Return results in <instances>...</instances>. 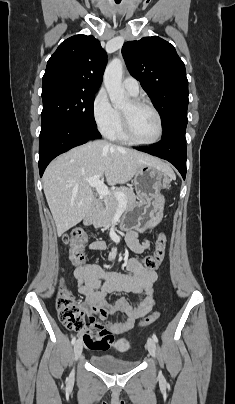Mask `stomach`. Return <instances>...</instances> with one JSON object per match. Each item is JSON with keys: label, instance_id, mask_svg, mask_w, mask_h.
Instances as JSON below:
<instances>
[{"label": "stomach", "instance_id": "1", "mask_svg": "<svg viewBox=\"0 0 235 404\" xmlns=\"http://www.w3.org/2000/svg\"><path fill=\"white\" fill-rule=\"evenodd\" d=\"M171 178L153 165H144L135 174L134 185L139 201L130 206L122 220V229H135L139 233L154 228L163 217L162 189L170 187Z\"/></svg>", "mask_w": 235, "mask_h": 404}]
</instances>
